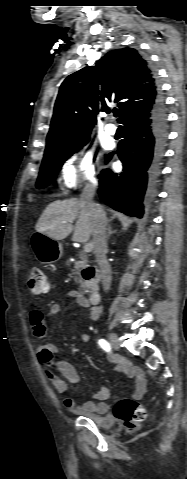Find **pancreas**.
<instances>
[{"mask_svg": "<svg viewBox=\"0 0 187 479\" xmlns=\"http://www.w3.org/2000/svg\"><path fill=\"white\" fill-rule=\"evenodd\" d=\"M80 260L75 262L74 269L72 270L73 274L77 277H79L78 282L80 283V290L86 291L87 289L90 288V281H86L81 277V271L86 269L88 265V258L85 254L80 255ZM69 264V261L67 262Z\"/></svg>", "mask_w": 187, "mask_h": 479, "instance_id": "cf45deb5", "label": "pancreas"}]
</instances>
